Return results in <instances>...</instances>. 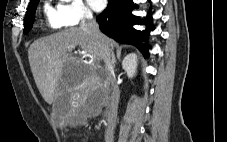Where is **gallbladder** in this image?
Wrapping results in <instances>:
<instances>
[{
    "instance_id": "bac80fb5",
    "label": "gallbladder",
    "mask_w": 227,
    "mask_h": 142,
    "mask_svg": "<svg viewBox=\"0 0 227 142\" xmlns=\"http://www.w3.org/2000/svg\"><path fill=\"white\" fill-rule=\"evenodd\" d=\"M73 93H60L53 103L52 112L56 122H61L67 113L74 112Z\"/></svg>"
}]
</instances>
